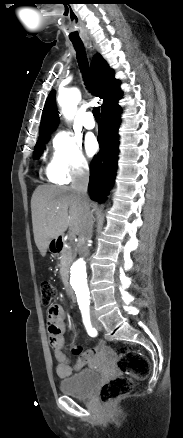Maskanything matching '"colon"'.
I'll use <instances>...</instances> for the list:
<instances>
[{
  "label": "colon",
  "mask_w": 183,
  "mask_h": 438,
  "mask_svg": "<svg viewBox=\"0 0 183 438\" xmlns=\"http://www.w3.org/2000/svg\"><path fill=\"white\" fill-rule=\"evenodd\" d=\"M41 303L48 306L55 296V288L49 281L40 285ZM118 369L126 376H118L102 385L99 391L100 400L106 404H112L118 399L129 394L133 389V381L145 379L150 371L148 358L131 346L121 348L117 360Z\"/></svg>",
  "instance_id": "obj_1"
}]
</instances>
